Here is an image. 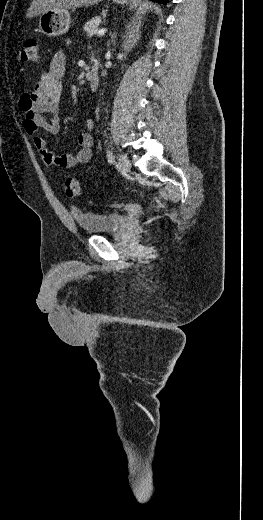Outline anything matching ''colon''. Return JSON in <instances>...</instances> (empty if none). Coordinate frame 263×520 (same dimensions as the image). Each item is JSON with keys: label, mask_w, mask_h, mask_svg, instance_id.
<instances>
[{"label": "colon", "mask_w": 263, "mask_h": 520, "mask_svg": "<svg viewBox=\"0 0 263 520\" xmlns=\"http://www.w3.org/2000/svg\"><path fill=\"white\" fill-rule=\"evenodd\" d=\"M21 56L25 61L37 62L39 57L38 41L33 38L26 40ZM64 189L68 197H78L81 194L80 183L73 176H69L64 180Z\"/></svg>", "instance_id": "colon-1"}]
</instances>
